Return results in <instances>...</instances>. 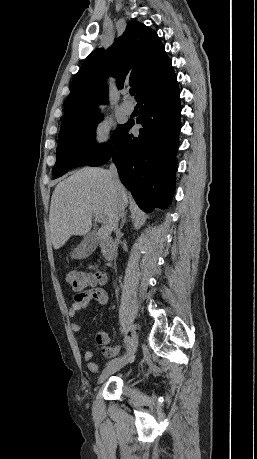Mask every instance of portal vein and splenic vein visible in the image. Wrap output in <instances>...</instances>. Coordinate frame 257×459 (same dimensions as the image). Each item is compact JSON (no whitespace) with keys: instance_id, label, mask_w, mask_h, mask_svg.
<instances>
[{"instance_id":"obj_1","label":"portal vein and splenic vein","mask_w":257,"mask_h":459,"mask_svg":"<svg viewBox=\"0 0 257 459\" xmlns=\"http://www.w3.org/2000/svg\"><path fill=\"white\" fill-rule=\"evenodd\" d=\"M94 218L97 222H103V218L97 213L94 214Z\"/></svg>"}]
</instances>
